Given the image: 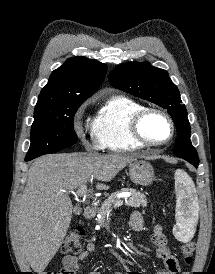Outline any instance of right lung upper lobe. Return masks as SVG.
Instances as JSON below:
<instances>
[{
  "mask_svg": "<svg viewBox=\"0 0 215 274\" xmlns=\"http://www.w3.org/2000/svg\"><path fill=\"white\" fill-rule=\"evenodd\" d=\"M107 66L84 56L69 58L54 70L37 104L83 103L101 85Z\"/></svg>",
  "mask_w": 215,
  "mask_h": 274,
  "instance_id": "cb5924a9",
  "label": "right lung upper lobe"
}]
</instances>
